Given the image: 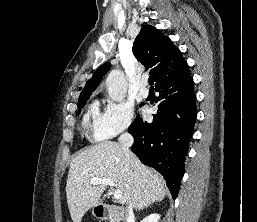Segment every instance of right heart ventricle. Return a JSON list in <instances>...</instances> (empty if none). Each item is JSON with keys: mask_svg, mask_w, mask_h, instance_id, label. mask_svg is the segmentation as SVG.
Instances as JSON below:
<instances>
[{"mask_svg": "<svg viewBox=\"0 0 257 222\" xmlns=\"http://www.w3.org/2000/svg\"><path fill=\"white\" fill-rule=\"evenodd\" d=\"M99 117V108L97 102H93L83 118V124L85 127L89 128L93 125L95 130L96 121ZM92 120V122H91Z\"/></svg>", "mask_w": 257, "mask_h": 222, "instance_id": "1", "label": "right heart ventricle"}]
</instances>
